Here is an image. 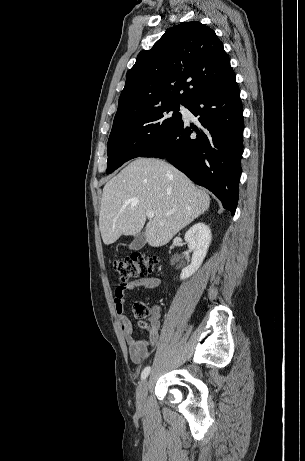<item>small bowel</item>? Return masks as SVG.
<instances>
[{"instance_id":"c3829d8e","label":"small bowel","mask_w":305,"mask_h":461,"mask_svg":"<svg viewBox=\"0 0 305 461\" xmlns=\"http://www.w3.org/2000/svg\"><path fill=\"white\" fill-rule=\"evenodd\" d=\"M160 281L156 277H144L125 284H120L114 291L115 311L118 315L119 326L129 348L130 359L134 364H140L150 356L149 347H155L160 329V307L154 306L146 327L145 339H137L133 333L130 320L125 315V303L130 291L141 288H157Z\"/></svg>"}]
</instances>
